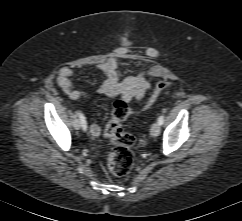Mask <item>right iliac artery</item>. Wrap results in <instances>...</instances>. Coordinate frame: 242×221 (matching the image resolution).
I'll return each instance as SVG.
<instances>
[{"mask_svg": "<svg viewBox=\"0 0 242 221\" xmlns=\"http://www.w3.org/2000/svg\"><path fill=\"white\" fill-rule=\"evenodd\" d=\"M77 116L80 119L81 126H82L83 130L86 131L87 130V122H86L85 117L83 116V114L80 111L77 112Z\"/></svg>", "mask_w": 242, "mask_h": 221, "instance_id": "right-iliac-artery-1", "label": "right iliac artery"}]
</instances>
